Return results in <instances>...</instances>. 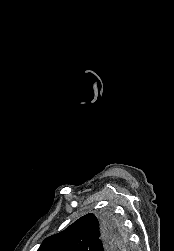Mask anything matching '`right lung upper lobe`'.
I'll return each instance as SVG.
<instances>
[{"mask_svg":"<svg viewBox=\"0 0 174 251\" xmlns=\"http://www.w3.org/2000/svg\"><path fill=\"white\" fill-rule=\"evenodd\" d=\"M101 224V219L98 220L94 214H87L64 231L46 238L38 251H93L100 242ZM117 239L112 246L114 250L123 247V237L119 235Z\"/></svg>","mask_w":174,"mask_h":251,"instance_id":"cb5924a9","label":"right lung upper lobe"}]
</instances>
